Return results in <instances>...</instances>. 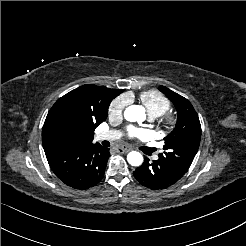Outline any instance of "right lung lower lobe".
Wrapping results in <instances>:
<instances>
[{
    "instance_id": "98d812e1",
    "label": "right lung lower lobe",
    "mask_w": 246,
    "mask_h": 246,
    "mask_svg": "<svg viewBox=\"0 0 246 246\" xmlns=\"http://www.w3.org/2000/svg\"><path fill=\"white\" fill-rule=\"evenodd\" d=\"M44 151L56 176L66 185L81 190L103 178L110 156L109 149L91 142L56 143L44 147Z\"/></svg>"
}]
</instances>
